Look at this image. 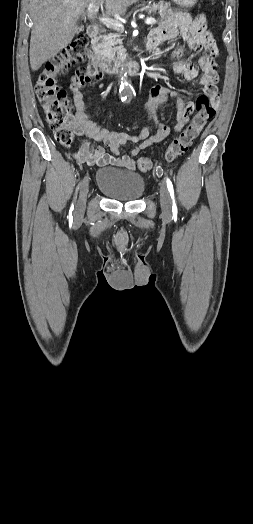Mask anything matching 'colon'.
<instances>
[{
  "label": "colon",
  "mask_w": 253,
  "mask_h": 524,
  "mask_svg": "<svg viewBox=\"0 0 253 524\" xmlns=\"http://www.w3.org/2000/svg\"><path fill=\"white\" fill-rule=\"evenodd\" d=\"M89 41L85 35H79L63 48L55 57L46 62L35 78V91L43 109L48 127L53 131L57 142L63 147H70L75 139V122L71 118V105L68 94L78 97L82 90L98 86L104 76L102 68H97L95 61L88 67H80L70 78L67 91L57 82L60 74L81 63L88 56ZM196 113L190 124L170 143L163 155L165 162H172L182 156L199 135L204 126L214 117L215 110L207 96H200L195 103ZM194 109V108H193ZM141 171H148L153 163L148 158L138 161Z\"/></svg>",
  "instance_id": "obj_1"
}]
</instances>
